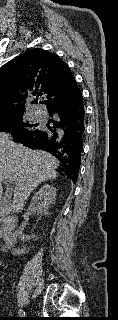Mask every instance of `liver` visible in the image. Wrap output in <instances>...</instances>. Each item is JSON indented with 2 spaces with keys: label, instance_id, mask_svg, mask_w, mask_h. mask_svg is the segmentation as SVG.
<instances>
[{
  "label": "liver",
  "instance_id": "6515ba94",
  "mask_svg": "<svg viewBox=\"0 0 118 320\" xmlns=\"http://www.w3.org/2000/svg\"><path fill=\"white\" fill-rule=\"evenodd\" d=\"M59 161L43 150H32L12 141L9 134L0 132V200L1 179L15 184L13 200L5 203L3 212H19L31 192L41 183L57 176Z\"/></svg>",
  "mask_w": 118,
  "mask_h": 320
}]
</instances>
